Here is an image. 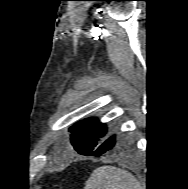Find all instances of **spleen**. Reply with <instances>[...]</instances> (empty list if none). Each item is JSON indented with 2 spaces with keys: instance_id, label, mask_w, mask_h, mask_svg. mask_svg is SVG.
Instances as JSON below:
<instances>
[{
  "instance_id": "3e777b00",
  "label": "spleen",
  "mask_w": 188,
  "mask_h": 189,
  "mask_svg": "<svg viewBox=\"0 0 188 189\" xmlns=\"http://www.w3.org/2000/svg\"><path fill=\"white\" fill-rule=\"evenodd\" d=\"M137 187V181L132 174L113 166L95 169L85 185V189H137Z\"/></svg>"
}]
</instances>
